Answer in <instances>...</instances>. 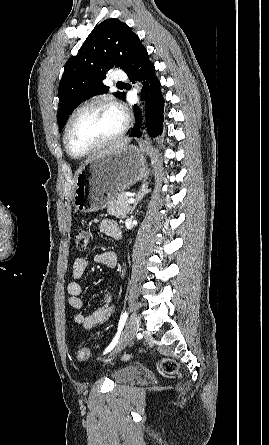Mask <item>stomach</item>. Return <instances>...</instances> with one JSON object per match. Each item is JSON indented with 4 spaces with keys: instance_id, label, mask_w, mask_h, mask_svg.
<instances>
[{
    "instance_id": "obj_1",
    "label": "stomach",
    "mask_w": 269,
    "mask_h": 445,
    "mask_svg": "<svg viewBox=\"0 0 269 445\" xmlns=\"http://www.w3.org/2000/svg\"><path fill=\"white\" fill-rule=\"evenodd\" d=\"M142 150L126 145L117 152L99 154L79 170L73 206L82 213L102 210L124 190L149 173Z\"/></svg>"
}]
</instances>
